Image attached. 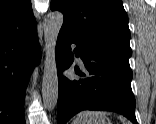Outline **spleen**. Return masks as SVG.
<instances>
[{
    "label": "spleen",
    "mask_w": 156,
    "mask_h": 124,
    "mask_svg": "<svg viewBox=\"0 0 156 124\" xmlns=\"http://www.w3.org/2000/svg\"><path fill=\"white\" fill-rule=\"evenodd\" d=\"M105 114H109V113H107V112H100V111H88L87 110V111H83V112L79 113L78 116H77V120L92 119L94 117L104 116Z\"/></svg>",
    "instance_id": "obj_1"
}]
</instances>
